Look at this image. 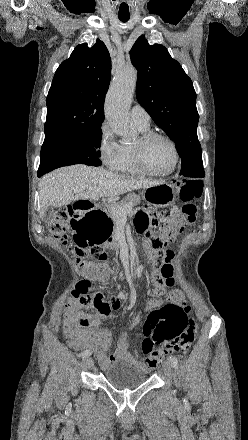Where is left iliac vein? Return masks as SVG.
<instances>
[{"mask_svg": "<svg viewBox=\"0 0 248 440\" xmlns=\"http://www.w3.org/2000/svg\"><path fill=\"white\" fill-rule=\"evenodd\" d=\"M163 372L167 378H171L172 376V364L170 361H165L162 366Z\"/></svg>", "mask_w": 248, "mask_h": 440, "instance_id": "obj_1", "label": "left iliac vein"}]
</instances>
